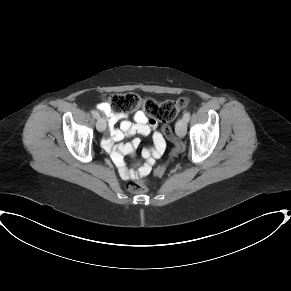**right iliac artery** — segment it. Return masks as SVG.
I'll return each mask as SVG.
<instances>
[{
	"instance_id": "right-iliac-artery-1",
	"label": "right iliac artery",
	"mask_w": 291,
	"mask_h": 291,
	"mask_svg": "<svg viewBox=\"0 0 291 291\" xmlns=\"http://www.w3.org/2000/svg\"><path fill=\"white\" fill-rule=\"evenodd\" d=\"M92 115L93 117H95L96 119H98L100 117L99 113L96 110H92Z\"/></svg>"
}]
</instances>
